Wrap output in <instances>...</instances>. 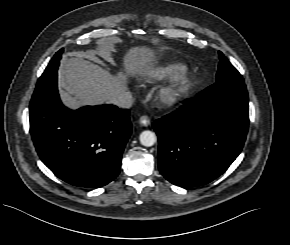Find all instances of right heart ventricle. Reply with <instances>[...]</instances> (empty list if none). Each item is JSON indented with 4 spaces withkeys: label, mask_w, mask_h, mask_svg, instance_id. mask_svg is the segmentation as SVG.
Listing matches in <instances>:
<instances>
[{
    "label": "right heart ventricle",
    "mask_w": 290,
    "mask_h": 245,
    "mask_svg": "<svg viewBox=\"0 0 290 245\" xmlns=\"http://www.w3.org/2000/svg\"><path fill=\"white\" fill-rule=\"evenodd\" d=\"M187 71L184 64L177 62H168L158 65L156 67L145 70L139 77L142 84H151L166 78H172L183 74Z\"/></svg>",
    "instance_id": "1"
}]
</instances>
